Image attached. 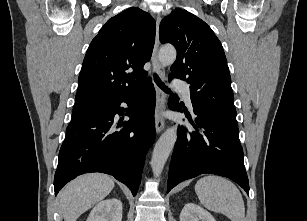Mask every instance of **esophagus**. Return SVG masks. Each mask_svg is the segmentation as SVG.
Masks as SVG:
<instances>
[{
  "label": "esophagus",
  "mask_w": 307,
  "mask_h": 221,
  "mask_svg": "<svg viewBox=\"0 0 307 221\" xmlns=\"http://www.w3.org/2000/svg\"><path fill=\"white\" fill-rule=\"evenodd\" d=\"M161 17L158 16L156 19V36H155V44L152 53V64L153 70L157 73L161 79H165V69L159 61L158 51H159V25H160ZM156 90V111H155V128L156 132L160 133L165 127V118L163 116V110L165 109L166 104V95L164 91L157 85H155Z\"/></svg>",
  "instance_id": "obj_1"
}]
</instances>
